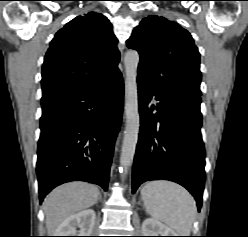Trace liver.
Here are the masks:
<instances>
[{
    "label": "liver",
    "mask_w": 248,
    "mask_h": 237,
    "mask_svg": "<svg viewBox=\"0 0 248 237\" xmlns=\"http://www.w3.org/2000/svg\"><path fill=\"white\" fill-rule=\"evenodd\" d=\"M99 195L96 186L85 182H71L55 188L44 200L48 234H56L62 221L96 204Z\"/></svg>",
    "instance_id": "liver-1"
}]
</instances>
